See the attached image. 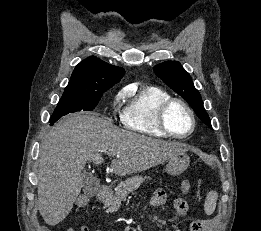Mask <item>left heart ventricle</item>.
<instances>
[{
    "label": "left heart ventricle",
    "mask_w": 261,
    "mask_h": 231,
    "mask_svg": "<svg viewBox=\"0 0 261 231\" xmlns=\"http://www.w3.org/2000/svg\"><path fill=\"white\" fill-rule=\"evenodd\" d=\"M167 125L176 134H186L191 128L187 110L180 104L172 105L166 114Z\"/></svg>",
    "instance_id": "left-heart-ventricle-1"
}]
</instances>
